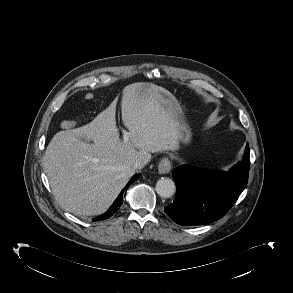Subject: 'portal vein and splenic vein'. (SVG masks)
<instances>
[{
	"label": "portal vein and splenic vein",
	"instance_id": "1",
	"mask_svg": "<svg viewBox=\"0 0 293 293\" xmlns=\"http://www.w3.org/2000/svg\"><path fill=\"white\" fill-rule=\"evenodd\" d=\"M122 133H123V140H124V143H128L129 140H130V133L127 132L126 130H122Z\"/></svg>",
	"mask_w": 293,
	"mask_h": 293
}]
</instances>
